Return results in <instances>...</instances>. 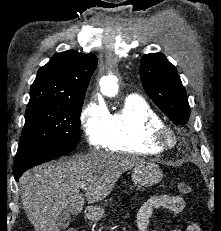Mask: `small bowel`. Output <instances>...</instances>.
<instances>
[{
	"label": "small bowel",
	"mask_w": 221,
	"mask_h": 231,
	"mask_svg": "<svg viewBox=\"0 0 221 231\" xmlns=\"http://www.w3.org/2000/svg\"><path fill=\"white\" fill-rule=\"evenodd\" d=\"M184 207L185 202L179 196H153L140 206L136 215L137 228L139 231H150V218L156 209L162 208L178 213L183 211ZM185 231H200V228L196 223H190Z\"/></svg>",
	"instance_id": "obj_1"
}]
</instances>
